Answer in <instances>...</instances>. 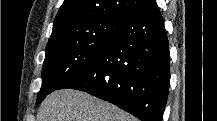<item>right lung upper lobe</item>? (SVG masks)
<instances>
[{
    "label": "right lung upper lobe",
    "mask_w": 217,
    "mask_h": 121,
    "mask_svg": "<svg viewBox=\"0 0 217 121\" xmlns=\"http://www.w3.org/2000/svg\"><path fill=\"white\" fill-rule=\"evenodd\" d=\"M152 1L154 0H64L56 15L48 43L81 23L100 19L126 22Z\"/></svg>",
    "instance_id": "obj_1"
}]
</instances>
